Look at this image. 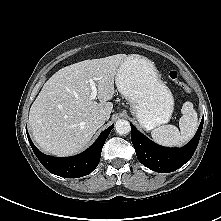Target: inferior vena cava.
<instances>
[{
  "mask_svg": "<svg viewBox=\"0 0 221 221\" xmlns=\"http://www.w3.org/2000/svg\"><path fill=\"white\" fill-rule=\"evenodd\" d=\"M105 120H106L105 115H99V116L97 117V121H98L99 123H104Z\"/></svg>",
  "mask_w": 221,
  "mask_h": 221,
  "instance_id": "602c4592",
  "label": "inferior vena cava"
}]
</instances>
